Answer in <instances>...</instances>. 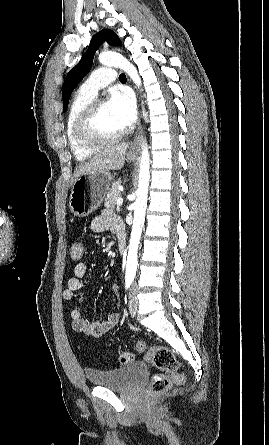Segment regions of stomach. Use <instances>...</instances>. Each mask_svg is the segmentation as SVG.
<instances>
[{
    "label": "stomach",
    "instance_id": "obj_1",
    "mask_svg": "<svg viewBox=\"0 0 269 445\" xmlns=\"http://www.w3.org/2000/svg\"><path fill=\"white\" fill-rule=\"evenodd\" d=\"M129 160L134 157L130 156ZM113 175L106 170L86 173L73 183L69 207L76 217H85L92 213L103 202L110 190Z\"/></svg>",
    "mask_w": 269,
    "mask_h": 445
}]
</instances>
